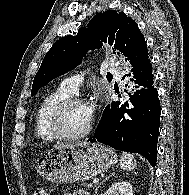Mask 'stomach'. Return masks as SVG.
<instances>
[{"label":"stomach","mask_w":189,"mask_h":195,"mask_svg":"<svg viewBox=\"0 0 189 195\" xmlns=\"http://www.w3.org/2000/svg\"><path fill=\"white\" fill-rule=\"evenodd\" d=\"M116 162V153L102 144H77L46 151L38 162L37 172L54 183L86 181Z\"/></svg>","instance_id":"stomach-1"}]
</instances>
